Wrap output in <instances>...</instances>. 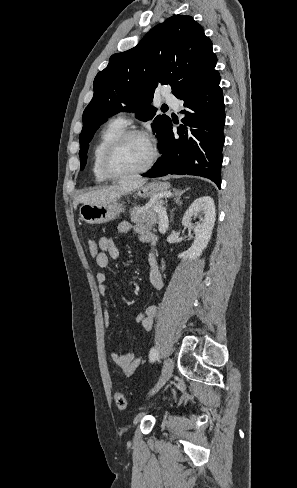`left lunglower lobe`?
Wrapping results in <instances>:
<instances>
[{"label": "left lung lower lobe", "mask_w": 297, "mask_h": 488, "mask_svg": "<svg viewBox=\"0 0 297 488\" xmlns=\"http://www.w3.org/2000/svg\"><path fill=\"white\" fill-rule=\"evenodd\" d=\"M219 84L220 75L216 71L204 84L181 98L186 107L182 111L183 125L174 135L170 122L160 144L161 158L142 176L197 175L212 180L220 188L225 114Z\"/></svg>", "instance_id": "0a47b994"}]
</instances>
